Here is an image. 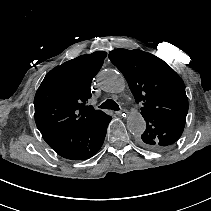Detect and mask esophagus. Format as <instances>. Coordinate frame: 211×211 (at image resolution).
I'll return each mask as SVG.
<instances>
[{
	"label": "esophagus",
	"instance_id": "34e87169",
	"mask_svg": "<svg viewBox=\"0 0 211 211\" xmlns=\"http://www.w3.org/2000/svg\"><path fill=\"white\" fill-rule=\"evenodd\" d=\"M116 115L123 116L126 114L125 110L115 111Z\"/></svg>",
	"mask_w": 211,
	"mask_h": 211
}]
</instances>
